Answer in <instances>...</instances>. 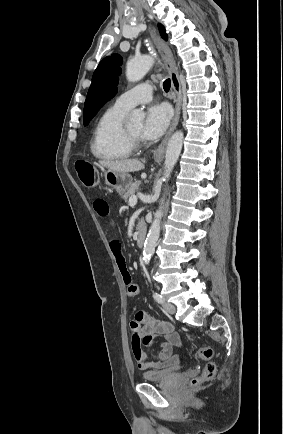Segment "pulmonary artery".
Instances as JSON below:
<instances>
[{
    "instance_id": "e3ab8cb5",
    "label": "pulmonary artery",
    "mask_w": 283,
    "mask_h": 434,
    "mask_svg": "<svg viewBox=\"0 0 283 434\" xmlns=\"http://www.w3.org/2000/svg\"><path fill=\"white\" fill-rule=\"evenodd\" d=\"M153 89L149 83H141L122 93L115 101V106L130 110L138 104L147 103L152 99Z\"/></svg>"
}]
</instances>
